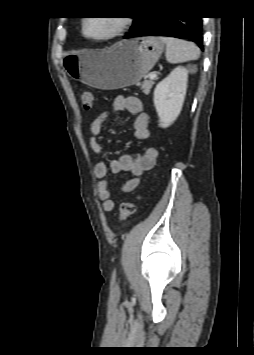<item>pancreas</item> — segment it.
Masks as SVG:
<instances>
[{
    "label": "pancreas",
    "mask_w": 254,
    "mask_h": 355,
    "mask_svg": "<svg viewBox=\"0 0 254 355\" xmlns=\"http://www.w3.org/2000/svg\"><path fill=\"white\" fill-rule=\"evenodd\" d=\"M154 81L153 80H145L142 84H141V89L142 91L148 95L151 91L152 86L154 85Z\"/></svg>",
    "instance_id": "cf45deb5"
}]
</instances>
